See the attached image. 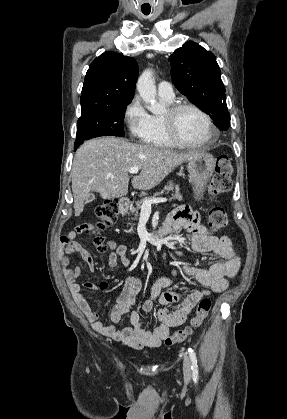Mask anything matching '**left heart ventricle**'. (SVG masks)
Segmentation results:
<instances>
[{
	"label": "left heart ventricle",
	"mask_w": 287,
	"mask_h": 419,
	"mask_svg": "<svg viewBox=\"0 0 287 419\" xmlns=\"http://www.w3.org/2000/svg\"><path fill=\"white\" fill-rule=\"evenodd\" d=\"M169 115L168 109L163 117H169ZM175 126L180 137L190 143L202 142L209 135V129L203 117L191 109L182 110L176 115Z\"/></svg>",
	"instance_id": "left-heart-ventricle-1"
}]
</instances>
